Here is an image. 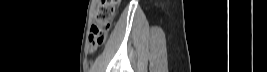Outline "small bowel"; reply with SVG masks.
<instances>
[{
    "label": "small bowel",
    "mask_w": 267,
    "mask_h": 72,
    "mask_svg": "<svg viewBox=\"0 0 267 72\" xmlns=\"http://www.w3.org/2000/svg\"><path fill=\"white\" fill-rule=\"evenodd\" d=\"M97 49V46H92L90 43H88V50L90 51V52H93V51H95Z\"/></svg>",
    "instance_id": "1"
}]
</instances>
